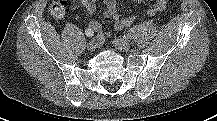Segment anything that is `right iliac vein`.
<instances>
[{"mask_svg": "<svg viewBox=\"0 0 217 121\" xmlns=\"http://www.w3.org/2000/svg\"><path fill=\"white\" fill-rule=\"evenodd\" d=\"M97 47V43L95 41H90L88 44H87V49L90 51V52H93L95 51Z\"/></svg>", "mask_w": 217, "mask_h": 121, "instance_id": "obj_1", "label": "right iliac vein"}]
</instances>
